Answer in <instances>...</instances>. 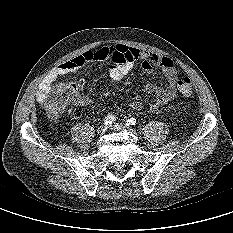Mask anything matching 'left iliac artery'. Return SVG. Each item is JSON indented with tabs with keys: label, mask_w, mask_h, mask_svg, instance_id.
<instances>
[{
	"label": "left iliac artery",
	"mask_w": 233,
	"mask_h": 233,
	"mask_svg": "<svg viewBox=\"0 0 233 233\" xmlns=\"http://www.w3.org/2000/svg\"><path fill=\"white\" fill-rule=\"evenodd\" d=\"M125 124H126V126H133L136 124V119L132 117V118L128 119Z\"/></svg>",
	"instance_id": "1"
}]
</instances>
